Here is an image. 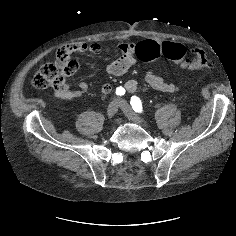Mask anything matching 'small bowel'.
Returning <instances> with one entry per match:
<instances>
[{"label":"small bowel","instance_id":"1","mask_svg":"<svg viewBox=\"0 0 236 236\" xmlns=\"http://www.w3.org/2000/svg\"><path fill=\"white\" fill-rule=\"evenodd\" d=\"M143 42H150L156 45H160V42L154 40H145ZM135 44L131 42H121L119 44V49L122 52V56L117 60L111 62L106 67V72L110 75L120 76L128 72L136 63V49L141 44ZM71 56L73 54H85L90 53L97 55L101 52V47L98 43H86V42H74L65 47H63ZM80 68V62L72 58V62L68 68V72L65 75L63 81L54 86L53 94L56 98L61 99H73L76 97L83 96L87 93L89 86L85 81H78L75 84H70L68 82L70 76H72ZM146 83L153 89L167 92L175 93L179 91V86L173 83L166 82L163 78L158 76L153 69H149L145 74ZM139 83L137 80H129L125 83L124 89L128 93H132L137 90ZM112 91V86L110 84H103L101 86V92L104 95L109 94Z\"/></svg>","mask_w":236,"mask_h":236}]
</instances>
